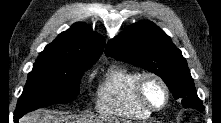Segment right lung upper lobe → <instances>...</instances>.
<instances>
[{"instance_id":"right-lung-upper-lobe-1","label":"right lung upper lobe","mask_w":221,"mask_h":123,"mask_svg":"<svg viewBox=\"0 0 221 123\" xmlns=\"http://www.w3.org/2000/svg\"><path fill=\"white\" fill-rule=\"evenodd\" d=\"M104 38L83 23L62 32L39 54L38 61L93 64L103 52Z\"/></svg>"}]
</instances>
